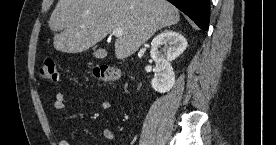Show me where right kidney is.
Segmentation results:
<instances>
[{
  "label": "right kidney",
  "mask_w": 276,
  "mask_h": 145,
  "mask_svg": "<svg viewBox=\"0 0 276 145\" xmlns=\"http://www.w3.org/2000/svg\"><path fill=\"white\" fill-rule=\"evenodd\" d=\"M163 45V48H159ZM187 48L186 39L178 32L165 30L151 42V58L155 61V75L151 81L152 88L159 92H168L175 84V73L171 62Z\"/></svg>",
  "instance_id": "ca27d5eb"
}]
</instances>
